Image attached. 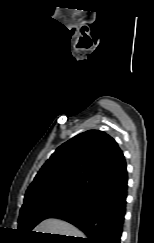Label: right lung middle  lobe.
Wrapping results in <instances>:
<instances>
[{"mask_svg": "<svg viewBox=\"0 0 154 243\" xmlns=\"http://www.w3.org/2000/svg\"><path fill=\"white\" fill-rule=\"evenodd\" d=\"M86 198L54 195L24 202L19 216L18 231L21 235L32 233V229L41 221L53 218L61 212L84 205Z\"/></svg>", "mask_w": 154, "mask_h": 243, "instance_id": "dd1d6c3e", "label": "right lung middle lobe"}]
</instances>
